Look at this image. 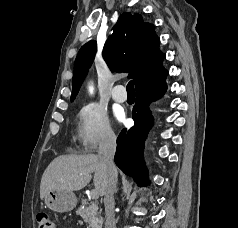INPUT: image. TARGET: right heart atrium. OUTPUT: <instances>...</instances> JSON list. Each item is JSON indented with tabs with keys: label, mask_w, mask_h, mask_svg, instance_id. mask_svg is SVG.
<instances>
[{
	"label": "right heart atrium",
	"mask_w": 238,
	"mask_h": 228,
	"mask_svg": "<svg viewBox=\"0 0 238 228\" xmlns=\"http://www.w3.org/2000/svg\"><path fill=\"white\" fill-rule=\"evenodd\" d=\"M76 136L86 152H94L99 147L114 144L116 141V134L106 112L96 103H88L80 108Z\"/></svg>",
	"instance_id": "obj_1"
}]
</instances>
